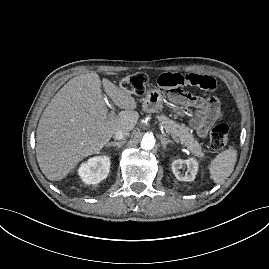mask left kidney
<instances>
[{
  "label": "left kidney",
  "instance_id": "obj_1",
  "mask_svg": "<svg viewBox=\"0 0 269 269\" xmlns=\"http://www.w3.org/2000/svg\"><path fill=\"white\" fill-rule=\"evenodd\" d=\"M187 169L185 174H181V169ZM172 171L179 181L191 182L194 181L198 172V161L194 158L187 160L176 159L172 162Z\"/></svg>",
  "mask_w": 269,
  "mask_h": 269
}]
</instances>
